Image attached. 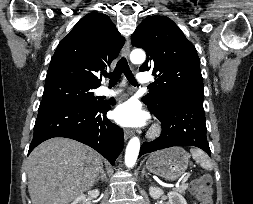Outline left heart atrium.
<instances>
[{
  "mask_svg": "<svg viewBox=\"0 0 253 204\" xmlns=\"http://www.w3.org/2000/svg\"><path fill=\"white\" fill-rule=\"evenodd\" d=\"M114 120L125 127L144 126L148 121L145 113L135 100H128L118 105L113 111Z\"/></svg>",
  "mask_w": 253,
  "mask_h": 204,
  "instance_id": "obj_1",
  "label": "left heart atrium"
}]
</instances>
